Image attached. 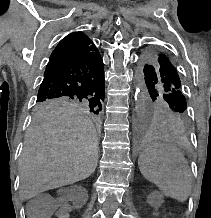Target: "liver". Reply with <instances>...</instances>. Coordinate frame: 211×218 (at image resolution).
Listing matches in <instances>:
<instances>
[{
    "label": "liver",
    "instance_id": "6515ba94",
    "mask_svg": "<svg viewBox=\"0 0 211 218\" xmlns=\"http://www.w3.org/2000/svg\"><path fill=\"white\" fill-rule=\"evenodd\" d=\"M98 144L90 118L73 108H40L26 132L19 162L20 198L29 200L89 178L96 170Z\"/></svg>",
    "mask_w": 211,
    "mask_h": 218
}]
</instances>
